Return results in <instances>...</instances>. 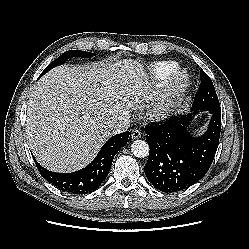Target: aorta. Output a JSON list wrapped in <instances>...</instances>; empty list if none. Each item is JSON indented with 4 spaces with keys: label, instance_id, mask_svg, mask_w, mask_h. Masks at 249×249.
<instances>
[{
    "label": "aorta",
    "instance_id": "obj_1",
    "mask_svg": "<svg viewBox=\"0 0 249 249\" xmlns=\"http://www.w3.org/2000/svg\"><path fill=\"white\" fill-rule=\"evenodd\" d=\"M131 152L137 158L147 157L149 154V145L144 140H135L131 145Z\"/></svg>",
    "mask_w": 249,
    "mask_h": 249
}]
</instances>
